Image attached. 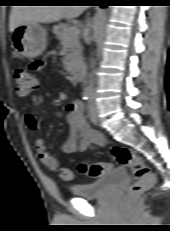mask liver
Returning <instances> with one entry per match:
<instances>
[{
	"label": "liver",
	"mask_w": 170,
	"mask_h": 231,
	"mask_svg": "<svg viewBox=\"0 0 170 231\" xmlns=\"http://www.w3.org/2000/svg\"><path fill=\"white\" fill-rule=\"evenodd\" d=\"M85 6H14L10 13L9 29L27 23H52L73 19L82 14Z\"/></svg>",
	"instance_id": "1"
}]
</instances>
